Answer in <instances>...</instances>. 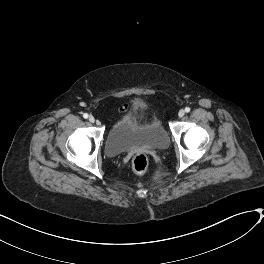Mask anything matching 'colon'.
Instances as JSON below:
<instances>
[{
	"instance_id": "colon-1",
	"label": "colon",
	"mask_w": 264,
	"mask_h": 264,
	"mask_svg": "<svg viewBox=\"0 0 264 264\" xmlns=\"http://www.w3.org/2000/svg\"><path fill=\"white\" fill-rule=\"evenodd\" d=\"M148 157L144 153L137 154L132 161V168L136 173H143L148 167Z\"/></svg>"
}]
</instances>
